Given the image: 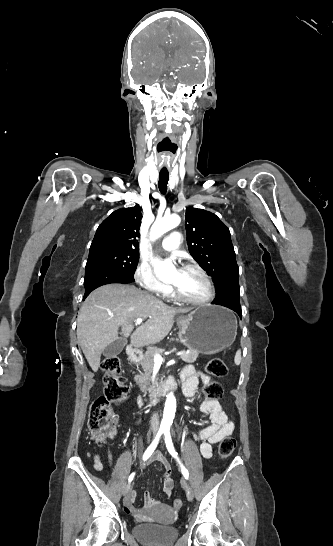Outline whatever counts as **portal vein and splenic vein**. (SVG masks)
<instances>
[{
	"label": "portal vein and splenic vein",
	"mask_w": 333,
	"mask_h": 546,
	"mask_svg": "<svg viewBox=\"0 0 333 546\" xmlns=\"http://www.w3.org/2000/svg\"><path fill=\"white\" fill-rule=\"evenodd\" d=\"M134 322H135L136 325H140L142 323V318H137ZM185 353L186 352H184V351H179V352L176 353V355L181 356V355H183ZM163 361H164V359L160 354L156 353L154 355V362L155 363L162 364Z\"/></svg>",
	"instance_id": "portal-vein-and-splenic-vein-1"
}]
</instances>
